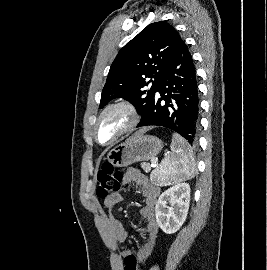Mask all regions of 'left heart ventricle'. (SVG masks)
Here are the masks:
<instances>
[{
    "instance_id": "left-heart-ventricle-1",
    "label": "left heart ventricle",
    "mask_w": 267,
    "mask_h": 270,
    "mask_svg": "<svg viewBox=\"0 0 267 270\" xmlns=\"http://www.w3.org/2000/svg\"><path fill=\"white\" fill-rule=\"evenodd\" d=\"M129 115L123 109H114L106 113L98 126V137L102 143L112 140L128 124Z\"/></svg>"
}]
</instances>
